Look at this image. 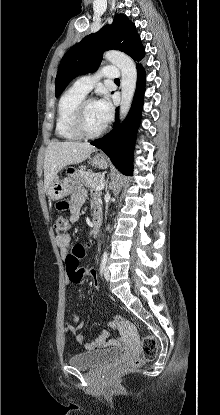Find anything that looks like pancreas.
<instances>
[{"mask_svg": "<svg viewBox=\"0 0 220 415\" xmlns=\"http://www.w3.org/2000/svg\"><path fill=\"white\" fill-rule=\"evenodd\" d=\"M79 174L83 184L91 189H95L100 183L104 181V175L100 173L80 171Z\"/></svg>", "mask_w": 220, "mask_h": 415, "instance_id": "cf45deb5", "label": "pancreas"}]
</instances>
